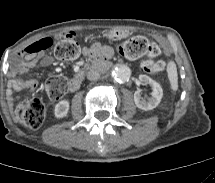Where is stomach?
<instances>
[{
  "instance_id": "0dacf381",
  "label": "stomach",
  "mask_w": 215,
  "mask_h": 183,
  "mask_svg": "<svg viewBox=\"0 0 215 183\" xmlns=\"http://www.w3.org/2000/svg\"><path fill=\"white\" fill-rule=\"evenodd\" d=\"M108 39L119 41L129 36V33L124 30H110L106 33Z\"/></svg>"
}]
</instances>
